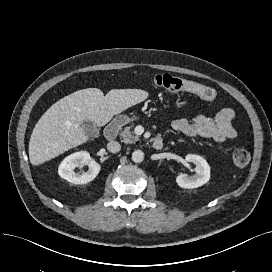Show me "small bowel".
<instances>
[{"label":"small bowel","mask_w":272,"mask_h":272,"mask_svg":"<svg viewBox=\"0 0 272 272\" xmlns=\"http://www.w3.org/2000/svg\"><path fill=\"white\" fill-rule=\"evenodd\" d=\"M233 118V110L223 108L215 117L197 115L192 119H176L172 123V128L188 137H201L216 142H224L237 136L232 125Z\"/></svg>","instance_id":"obj_1"}]
</instances>
